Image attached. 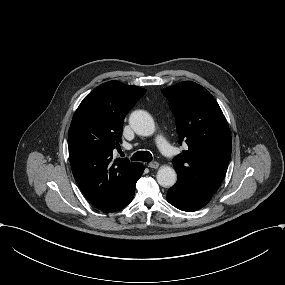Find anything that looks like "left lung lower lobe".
<instances>
[{
	"label": "left lung lower lobe",
	"mask_w": 285,
	"mask_h": 285,
	"mask_svg": "<svg viewBox=\"0 0 285 285\" xmlns=\"http://www.w3.org/2000/svg\"><path fill=\"white\" fill-rule=\"evenodd\" d=\"M211 197L212 194L199 190L180 179L167 193V200L171 205L187 212H193L204 207Z\"/></svg>",
	"instance_id": "1"
}]
</instances>
